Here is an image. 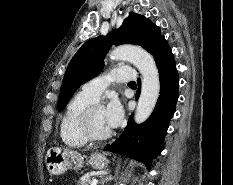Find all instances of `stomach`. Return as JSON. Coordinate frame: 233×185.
I'll use <instances>...</instances> for the list:
<instances>
[{"label":"stomach","mask_w":233,"mask_h":185,"mask_svg":"<svg viewBox=\"0 0 233 185\" xmlns=\"http://www.w3.org/2000/svg\"><path fill=\"white\" fill-rule=\"evenodd\" d=\"M47 170L51 175L64 174L68 169L78 170L83 167L84 158L75 151L69 149L50 148L45 156ZM88 163L95 169H104L109 160L103 153L91 154Z\"/></svg>","instance_id":"stomach-1"}]
</instances>
